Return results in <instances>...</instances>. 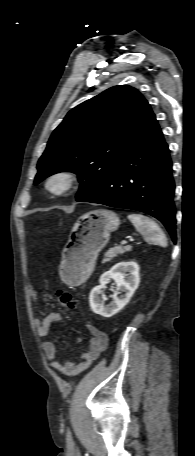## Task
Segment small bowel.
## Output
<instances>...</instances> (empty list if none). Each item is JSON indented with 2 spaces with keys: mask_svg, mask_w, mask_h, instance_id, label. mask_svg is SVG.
<instances>
[{
  "mask_svg": "<svg viewBox=\"0 0 195 456\" xmlns=\"http://www.w3.org/2000/svg\"><path fill=\"white\" fill-rule=\"evenodd\" d=\"M29 296L33 302H37L38 290L36 287L31 286L29 288ZM61 319L62 316L60 313H50L41 320H35L36 328L38 335L43 339V351L52 366L66 375L74 376L87 369L93 361L99 357V355L106 349L108 339L107 335L103 331L96 326L89 324L88 330L91 334V339L88 349L83 352L76 361H62L57 355L55 344L48 338L49 332L53 328L54 324L59 322Z\"/></svg>",
  "mask_w": 195,
  "mask_h": 456,
  "instance_id": "obj_1",
  "label": "small bowel"
}]
</instances>
